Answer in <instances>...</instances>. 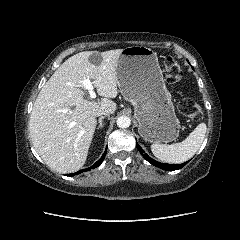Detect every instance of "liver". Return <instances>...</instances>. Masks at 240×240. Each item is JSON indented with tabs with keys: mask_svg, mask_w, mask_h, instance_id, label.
<instances>
[{
	"mask_svg": "<svg viewBox=\"0 0 240 240\" xmlns=\"http://www.w3.org/2000/svg\"><path fill=\"white\" fill-rule=\"evenodd\" d=\"M123 49L84 51L68 58L39 92L31 112V141L43 161L60 173L78 171L85 164L93 139L96 113L116 110L117 64ZM100 55L99 64L90 57ZM92 79L98 101L84 98L81 81Z\"/></svg>",
	"mask_w": 240,
	"mask_h": 240,
	"instance_id": "obj_1",
	"label": "liver"
}]
</instances>
